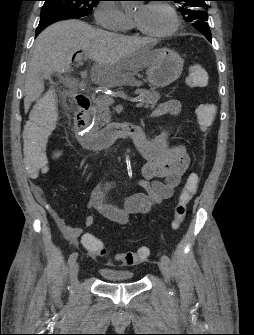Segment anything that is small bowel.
<instances>
[{"label":"small bowel","mask_w":254,"mask_h":335,"mask_svg":"<svg viewBox=\"0 0 254 335\" xmlns=\"http://www.w3.org/2000/svg\"><path fill=\"white\" fill-rule=\"evenodd\" d=\"M180 111V102L170 99L160 104L154 110L153 116L158 117L166 114L177 116ZM133 143L145 160L138 183L146 189V193L128 197L122 209L106 202L104 190L101 188L94 189L88 201V206L91 209L96 210L105 219L119 225L127 224L129 214L148 213L154 204L170 199L190 165V156L184 145L172 143L170 131L162 133L153 140L144 137ZM61 155L62 149L55 147L50 157L45 159L54 161ZM51 215L72 245H78L80 237L83 241L85 237L93 236L90 233L83 234L84 228L90 227L94 223L93 216H86L81 226H71L55 211H51ZM90 254L95 256L92 252Z\"/></svg>","instance_id":"obj_1"}]
</instances>
